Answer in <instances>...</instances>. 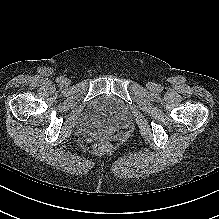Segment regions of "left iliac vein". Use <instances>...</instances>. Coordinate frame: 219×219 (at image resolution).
<instances>
[{"label": "left iliac vein", "mask_w": 219, "mask_h": 219, "mask_svg": "<svg viewBox=\"0 0 219 219\" xmlns=\"http://www.w3.org/2000/svg\"><path fill=\"white\" fill-rule=\"evenodd\" d=\"M148 87H149V89H151V90L156 89L155 83H152V82L148 84Z\"/></svg>", "instance_id": "4c4485c4"}]
</instances>
